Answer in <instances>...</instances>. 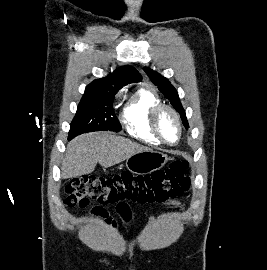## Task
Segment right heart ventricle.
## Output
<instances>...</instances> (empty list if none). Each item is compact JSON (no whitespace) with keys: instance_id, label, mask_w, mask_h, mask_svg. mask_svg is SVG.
Masks as SVG:
<instances>
[{"instance_id":"right-heart-ventricle-1","label":"right heart ventricle","mask_w":267,"mask_h":270,"mask_svg":"<svg viewBox=\"0 0 267 270\" xmlns=\"http://www.w3.org/2000/svg\"><path fill=\"white\" fill-rule=\"evenodd\" d=\"M162 104L159 95L149 86L139 87L127 100L121 115V121L129 135L153 146L161 142L150 127L152 109Z\"/></svg>"}]
</instances>
